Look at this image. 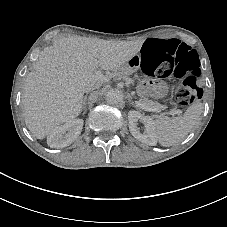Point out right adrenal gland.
I'll return each mask as SVG.
<instances>
[{"instance_id":"1","label":"right adrenal gland","mask_w":227,"mask_h":227,"mask_svg":"<svg viewBox=\"0 0 227 227\" xmlns=\"http://www.w3.org/2000/svg\"><path fill=\"white\" fill-rule=\"evenodd\" d=\"M86 100H87V97L85 96V97H84V101H83V109H84L83 117H84L85 114H86Z\"/></svg>"}]
</instances>
